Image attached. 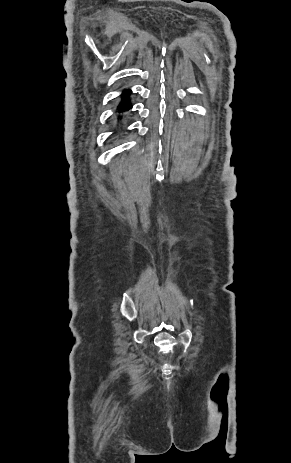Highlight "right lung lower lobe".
<instances>
[{
    "label": "right lung lower lobe",
    "mask_w": 291,
    "mask_h": 463,
    "mask_svg": "<svg viewBox=\"0 0 291 463\" xmlns=\"http://www.w3.org/2000/svg\"><path fill=\"white\" fill-rule=\"evenodd\" d=\"M130 94H131L130 90H125L120 96L121 100L116 108V111L118 112V114L116 115L115 128L113 129L114 131H116L115 134H118L120 130L122 129L123 124L126 119L127 112L129 109L132 108V104L129 101Z\"/></svg>",
    "instance_id": "right-lung-lower-lobe-1"
}]
</instances>
